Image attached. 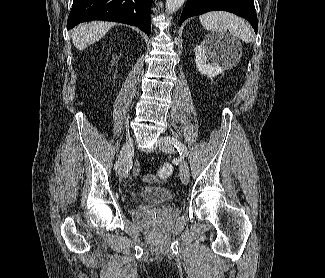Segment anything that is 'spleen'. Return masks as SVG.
Returning <instances> with one entry per match:
<instances>
[{"label": "spleen", "mask_w": 325, "mask_h": 278, "mask_svg": "<svg viewBox=\"0 0 325 278\" xmlns=\"http://www.w3.org/2000/svg\"><path fill=\"white\" fill-rule=\"evenodd\" d=\"M199 20L208 31L222 33L229 30L233 36L246 43L252 41L253 34L249 24L244 19L231 13L223 11L208 12L200 15Z\"/></svg>", "instance_id": "3e777b00"}]
</instances>
